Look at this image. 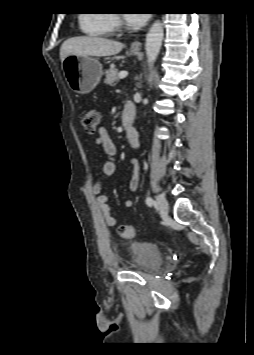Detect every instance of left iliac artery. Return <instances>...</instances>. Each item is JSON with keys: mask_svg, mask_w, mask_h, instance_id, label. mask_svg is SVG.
Listing matches in <instances>:
<instances>
[{"mask_svg": "<svg viewBox=\"0 0 254 355\" xmlns=\"http://www.w3.org/2000/svg\"><path fill=\"white\" fill-rule=\"evenodd\" d=\"M146 204H147L148 206H152L153 200H152L151 197H147V198H146Z\"/></svg>", "mask_w": 254, "mask_h": 355, "instance_id": "left-iliac-artery-1", "label": "left iliac artery"}]
</instances>
